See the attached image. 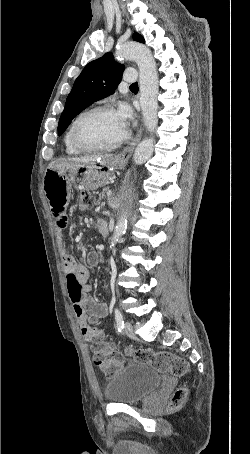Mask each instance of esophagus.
Masks as SVG:
<instances>
[{
	"instance_id": "obj_1",
	"label": "esophagus",
	"mask_w": 250,
	"mask_h": 454,
	"mask_svg": "<svg viewBox=\"0 0 250 454\" xmlns=\"http://www.w3.org/2000/svg\"><path fill=\"white\" fill-rule=\"evenodd\" d=\"M142 132H143V129L142 127L138 130L135 138L133 139V141L127 145L119 154H118V158L121 159V160H128L130 158V156L132 155L133 151H134V148L135 146L137 145V143L140 141L141 137H142Z\"/></svg>"
}]
</instances>
